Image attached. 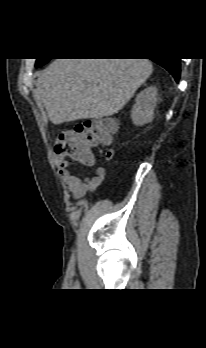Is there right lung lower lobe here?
<instances>
[{
  "label": "right lung lower lobe",
  "instance_id": "1",
  "mask_svg": "<svg viewBox=\"0 0 206 348\" xmlns=\"http://www.w3.org/2000/svg\"><path fill=\"white\" fill-rule=\"evenodd\" d=\"M154 62L158 63L162 67H164L166 70H168L176 82H179L180 78V59H174V58H165V59H157L153 60Z\"/></svg>",
  "mask_w": 206,
  "mask_h": 348
}]
</instances>
